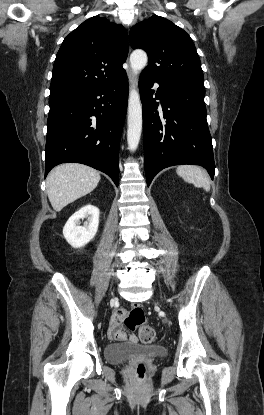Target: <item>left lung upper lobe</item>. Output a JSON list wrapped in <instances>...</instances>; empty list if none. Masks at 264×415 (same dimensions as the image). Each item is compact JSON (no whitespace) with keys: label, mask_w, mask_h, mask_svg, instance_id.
Listing matches in <instances>:
<instances>
[{"label":"left lung upper lobe","mask_w":264,"mask_h":415,"mask_svg":"<svg viewBox=\"0 0 264 415\" xmlns=\"http://www.w3.org/2000/svg\"><path fill=\"white\" fill-rule=\"evenodd\" d=\"M129 40L133 49L142 48L148 54V66L142 74L163 83L205 89L195 45L190 36L171 21L152 16L131 28Z\"/></svg>","instance_id":"obj_1"}]
</instances>
